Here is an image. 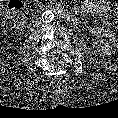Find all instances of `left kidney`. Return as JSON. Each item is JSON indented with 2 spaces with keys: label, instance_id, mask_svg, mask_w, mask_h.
<instances>
[{
  "label": "left kidney",
  "instance_id": "obj_1",
  "mask_svg": "<svg viewBox=\"0 0 118 118\" xmlns=\"http://www.w3.org/2000/svg\"><path fill=\"white\" fill-rule=\"evenodd\" d=\"M95 45L98 52L104 55H110L112 52V47L109 45V43L106 40L100 39L95 43Z\"/></svg>",
  "mask_w": 118,
  "mask_h": 118
}]
</instances>
